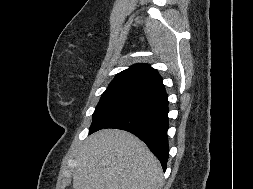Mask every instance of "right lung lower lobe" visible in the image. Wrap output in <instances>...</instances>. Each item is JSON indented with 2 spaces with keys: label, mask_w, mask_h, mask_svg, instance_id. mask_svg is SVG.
<instances>
[{
  "label": "right lung lower lobe",
  "mask_w": 253,
  "mask_h": 189,
  "mask_svg": "<svg viewBox=\"0 0 253 189\" xmlns=\"http://www.w3.org/2000/svg\"><path fill=\"white\" fill-rule=\"evenodd\" d=\"M167 114L168 100L163 87L111 113L91 127L89 133L103 128L129 131L146 143L165 171L169 155Z\"/></svg>",
  "instance_id": "right-lung-lower-lobe-1"
}]
</instances>
